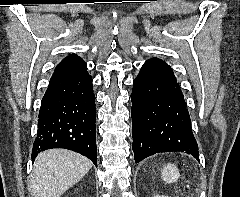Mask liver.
Instances as JSON below:
<instances>
[{
    "mask_svg": "<svg viewBox=\"0 0 240 197\" xmlns=\"http://www.w3.org/2000/svg\"><path fill=\"white\" fill-rule=\"evenodd\" d=\"M92 162L76 152L50 149L38 154L30 181L33 197H60L92 168Z\"/></svg>",
    "mask_w": 240,
    "mask_h": 197,
    "instance_id": "1",
    "label": "liver"
}]
</instances>
